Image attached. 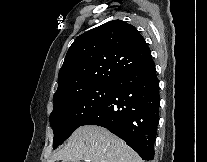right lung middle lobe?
<instances>
[{
	"label": "right lung middle lobe",
	"instance_id": "right-lung-middle-lobe-1",
	"mask_svg": "<svg viewBox=\"0 0 207 162\" xmlns=\"http://www.w3.org/2000/svg\"><path fill=\"white\" fill-rule=\"evenodd\" d=\"M114 87V84L92 86L54 99V109L50 115L54 149L107 101Z\"/></svg>",
	"mask_w": 207,
	"mask_h": 162
}]
</instances>
